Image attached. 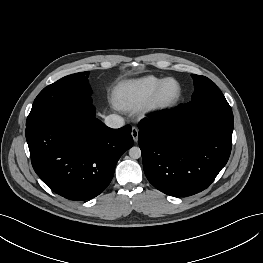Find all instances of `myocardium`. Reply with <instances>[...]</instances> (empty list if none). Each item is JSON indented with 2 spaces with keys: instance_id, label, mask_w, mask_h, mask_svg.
Listing matches in <instances>:
<instances>
[{
  "instance_id": "1",
  "label": "myocardium",
  "mask_w": 263,
  "mask_h": 263,
  "mask_svg": "<svg viewBox=\"0 0 263 263\" xmlns=\"http://www.w3.org/2000/svg\"><path fill=\"white\" fill-rule=\"evenodd\" d=\"M169 83L176 84L177 90L173 96L166 97L164 93ZM182 93L183 89L180 82L174 78H167L158 86L151 99L145 105L144 112L147 114H156L170 110L179 102Z\"/></svg>"
}]
</instances>
